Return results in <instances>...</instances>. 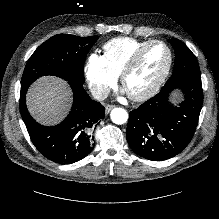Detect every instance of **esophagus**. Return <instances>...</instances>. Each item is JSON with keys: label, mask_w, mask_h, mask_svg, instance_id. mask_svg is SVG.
I'll list each match as a JSON object with an SVG mask.
<instances>
[{"label": "esophagus", "mask_w": 219, "mask_h": 219, "mask_svg": "<svg viewBox=\"0 0 219 219\" xmlns=\"http://www.w3.org/2000/svg\"><path fill=\"white\" fill-rule=\"evenodd\" d=\"M115 108V105H106L105 106V112H106V114H108L112 109H114Z\"/></svg>", "instance_id": "obj_1"}]
</instances>
